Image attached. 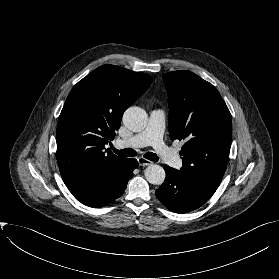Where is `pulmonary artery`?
Returning <instances> with one entry per match:
<instances>
[{"mask_svg":"<svg viewBox=\"0 0 279 279\" xmlns=\"http://www.w3.org/2000/svg\"><path fill=\"white\" fill-rule=\"evenodd\" d=\"M166 114L163 110L157 109L150 113L146 128L139 134L118 142L119 146L141 148L152 146L161 159L173 168L180 169L182 160L169 149L163 142Z\"/></svg>","mask_w":279,"mask_h":279,"instance_id":"1","label":"pulmonary artery"}]
</instances>
